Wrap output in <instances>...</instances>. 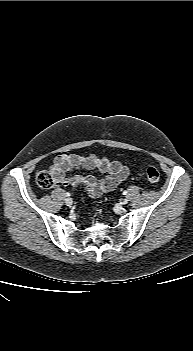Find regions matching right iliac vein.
<instances>
[{
  "mask_svg": "<svg viewBox=\"0 0 193 351\" xmlns=\"http://www.w3.org/2000/svg\"><path fill=\"white\" fill-rule=\"evenodd\" d=\"M65 204H66L67 206H71V205L73 204V200H72L71 198H67V199L65 200Z\"/></svg>",
  "mask_w": 193,
  "mask_h": 351,
  "instance_id": "obj_1",
  "label": "right iliac vein"
}]
</instances>
